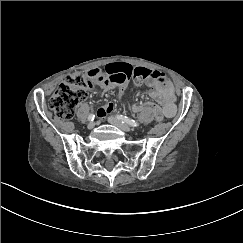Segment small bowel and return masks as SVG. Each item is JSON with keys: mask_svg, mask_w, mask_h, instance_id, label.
Wrapping results in <instances>:
<instances>
[{"mask_svg": "<svg viewBox=\"0 0 243 243\" xmlns=\"http://www.w3.org/2000/svg\"><path fill=\"white\" fill-rule=\"evenodd\" d=\"M88 75L105 91L116 86L123 87L129 77H133L137 82L145 81L146 84L153 87L151 96L161 104L164 116L171 118L176 113L174 87L169 79L159 71L133 67L128 63H111L102 68L90 70ZM113 109L114 105L108 103L98 110V115L103 118Z\"/></svg>", "mask_w": 243, "mask_h": 243, "instance_id": "1", "label": "small bowel"}]
</instances>
